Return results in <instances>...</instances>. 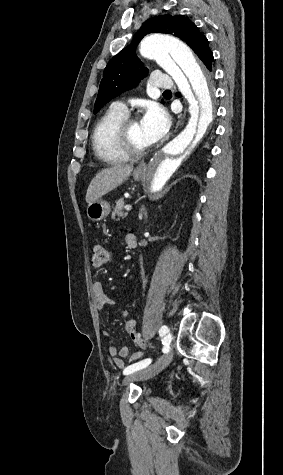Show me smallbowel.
Returning a JSON list of instances; mask_svg holds the SVG:
<instances>
[{
    "label": "small bowel",
    "mask_w": 283,
    "mask_h": 475,
    "mask_svg": "<svg viewBox=\"0 0 283 475\" xmlns=\"http://www.w3.org/2000/svg\"><path fill=\"white\" fill-rule=\"evenodd\" d=\"M130 238L131 235L126 236V245L128 247H133L130 245ZM92 293L95 298V305L98 309H102L103 307L110 305L113 300L112 298L106 293L104 286L100 281H94L92 283ZM123 317L127 318L128 315L126 311L122 312ZM105 336L110 338L111 335L109 332H105ZM129 353V348L127 346H119L117 344H112L109 347V354L115 360V363L118 367L123 366V359L127 357ZM134 363V362H132Z\"/></svg>",
    "instance_id": "c3829d8e"
}]
</instances>
